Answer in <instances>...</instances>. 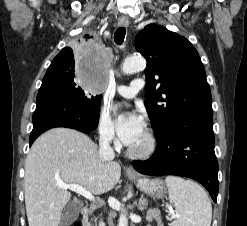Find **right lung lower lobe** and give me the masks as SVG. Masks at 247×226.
<instances>
[{
  "label": "right lung lower lobe",
  "mask_w": 247,
  "mask_h": 226,
  "mask_svg": "<svg viewBox=\"0 0 247 226\" xmlns=\"http://www.w3.org/2000/svg\"><path fill=\"white\" fill-rule=\"evenodd\" d=\"M100 109H94L55 76L45 74L33 114L30 145L44 131L67 127L89 133L96 129Z\"/></svg>",
  "instance_id": "right-lung-lower-lobe-1"
}]
</instances>
